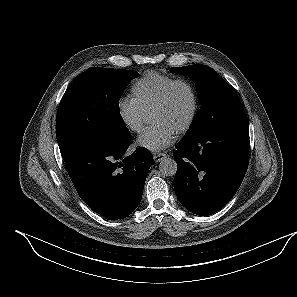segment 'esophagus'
<instances>
[{"label": "esophagus", "instance_id": "34e87169", "mask_svg": "<svg viewBox=\"0 0 297 297\" xmlns=\"http://www.w3.org/2000/svg\"><path fill=\"white\" fill-rule=\"evenodd\" d=\"M165 158H166L165 153H157V154H154V156H153V159H154L155 162H160Z\"/></svg>", "mask_w": 297, "mask_h": 297}]
</instances>
